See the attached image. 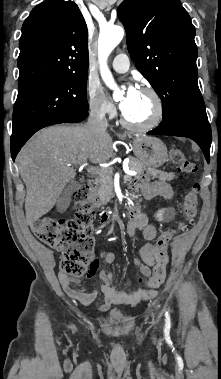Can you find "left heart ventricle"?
<instances>
[{"label":"left heart ventricle","mask_w":221,"mask_h":379,"mask_svg":"<svg viewBox=\"0 0 221 379\" xmlns=\"http://www.w3.org/2000/svg\"><path fill=\"white\" fill-rule=\"evenodd\" d=\"M153 113V100L150 96L140 92L134 103L124 112V115L131 122L145 123L151 119Z\"/></svg>","instance_id":"1"}]
</instances>
